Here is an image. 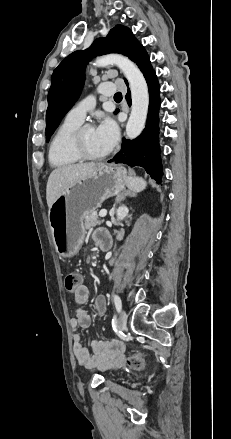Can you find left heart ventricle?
Wrapping results in <instances>:
<instances>
[{
	"label": "left heart ventricle",
	"instance_id": "obj_1",
	"mask_svg": "<svg viewBox=\"0 0 231 439\" xmlns=\"http://www.w3.org/2000/svg\"><path fill=\"white\" fill-rule=\"evenodd\" d=\"M83 144L88 152L94 155L106 153L104 147L96 137L95 129L87 128L83 133Z\"/></svg>",
	"mask_w": 231,
	"mask_h": 439
}]
</instances>
